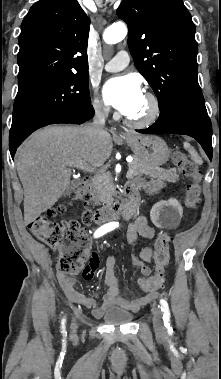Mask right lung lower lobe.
Returning <instances> with one entry per match:
<instances>
[{
	"label": "right lung lower lobe",
	"mask_w": 221,
	"mask_h": 379,
	"mask_svg": "<svg viewBox=\"0 0 221 379\" xmlns=\"http://www.w3.org/2000/svg\"><path fill=\"white\" fill-rule=\"evenodd\" d=\"M94 115V109L92 105H89L86 108H83L82 110L78 112H74L65 116H62L60 118L54 119L52 121H49L45 123L43 126L49 125V124H55V123H72V124H81L84 123L85 121L89 120L92 118ZM41 126V127H43ZM40 127V128H41ZM24 139H21L15 143H9V148H10V153L12 158H14V154L16 152V149L18 146L21 144V142Z\"/></svg>",
	"instance_id": "obj_1"
}]
</instances>
